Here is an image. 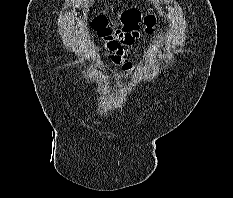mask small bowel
Instances as JSON below:
<instances>
[{
	"instance_id": "c3829d8e",
	"label": "small bowel",
	"mask_w": 233,
	"mask_h": 198,
	"mask_svg": "<svg viewBox=\"0 0 233 198\" xmlns=\"http://www.w3.org/2000/svg\"><path fill=\"white\" fill-rule=\"evenodd\" d=\"M139 37L138 32L115 31L110 36L103 38L104 48L109 52V61L120 66L123 71L131 72L133 64L125 56L124 48L132 46Z\"/></svg>"
}]
</instances>
